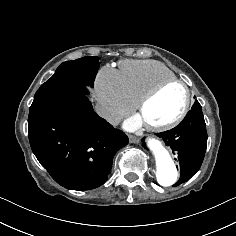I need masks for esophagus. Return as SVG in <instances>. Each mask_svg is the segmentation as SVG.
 Segmentation results:
<instances>
[{"mask_svg": "<svg viewBox=\"0 0 236 236\" xmlns=\"http://www.w3.org/2000/svg\"><path fill=\"white\" fill-rule=\"evenodd\" d=\"M129 142L137 144V143H139V139L137 137L133 136V135H130L129 136Z\"/></svg>", "mask_w": 236, "mask_h": 236, "instance_id": "esophagus-1", "label": "esophagus"}]
</instances>
